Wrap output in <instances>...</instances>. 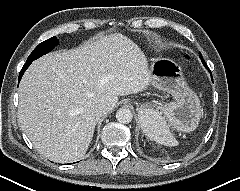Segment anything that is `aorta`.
I'll list each match as a JSON object with an SVG mask.
<instances>
[{
	"label": "aorta",
	"mask_w": 240,
	"mask_h": 191,
	"mask_svg": "<svg viewBox=\"0 0 240 191\" xmlns=\"http://www.w3.org/2000/svg\"><path fill=\"white\" fill-rule=\"evenodd\" d=\"M133 114L130 109L128 108H120L116 112V119L118 122L123 124H128L132 121Z\"/></svg>",
	"instance_id": "aorta-1"
}]
</instances>
